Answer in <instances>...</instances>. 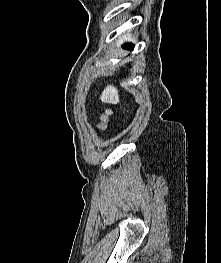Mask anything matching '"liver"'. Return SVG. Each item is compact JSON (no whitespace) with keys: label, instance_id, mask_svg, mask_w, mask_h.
I'll return each mask as SVG.
<instances>
[{"label":"liver","instance_id":"obj_1","mask_svg":"<svg viewBox=\"0 0 221 263\" xmlns=\"http://www.w3.org/2000/svg\"><path fill=\"white\" fill-rule=\"evenodd\" d=\"M100 99L104 103L118 104L120 100L117 87H115L114 85H107L106 88L103 90Z\"/></svg>","mask_w":221,"mask_h":263}]
</instances>
